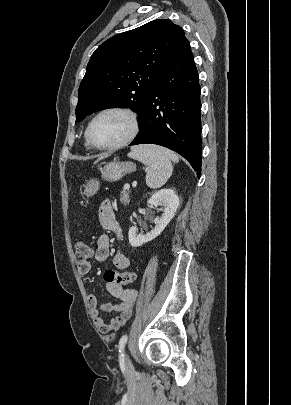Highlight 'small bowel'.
<instances>
[{
  "mask_svg": "<svg viewBox=\"0 0 291 405\" xmlns=\"http://www.w3.org/2000/svg\"><path fill=\"white\" fill-rule=\"evenodd\" d=\"M99 221L104 229L113 231L119 238L122 237V230L119 222L116 219L112 204L109 200H105L99 207ZM110 255V239L106 234L99 236L97 240V249L95 253V260L104 262ZM114 265L120 269H127L130 265L129 258L123 253H116L113 257ZM91 270L89 262L78 264V271L81 275H86ZM107 291L120 303L111 304L103 303L98 304V299L95 294L88 295V304L90 307V315L96 328L101 333H109L121 328L131 318L134 303L136 301L138 292L135 289H126L122 285H117L106 281ZM101 311L104 312H118L119 315L113 318L110 322H105L101 316Z\"/></svg>",
  "mask_w": 291,
  "mask_h": 405,
  "instance_id": "c3829d8e",
  "label": "small bowel"
}]
</instances>
